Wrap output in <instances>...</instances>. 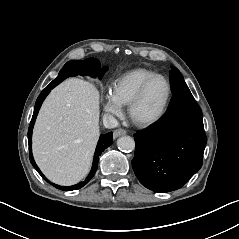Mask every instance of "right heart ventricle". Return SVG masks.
Here are the masks:
<instances>
[{"label": "right heart ventricle", "mask_w": 239, "mask_h": 239, "mask_svg": "<svg viewBox=\"0 0 239 239\" xmlns=\"http://www.w3.org/2000/svg\"><path fill=\"white\" fill-rule=\"evenodd\" d=\"M157 73L147 68H135L118 76L111 84L110 95L123 107L131 102L132 98L150 77Z\"/></svg>", "instance_id": "obj_1"}]
</instances>
